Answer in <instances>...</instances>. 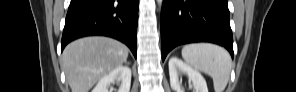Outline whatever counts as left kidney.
Listing matches in <instances>:
<instances>
[{
  "label": "left kidney",
  "mask_w": 296,
  "mask_h": 92,
  "mask_svg": "<svg viewBox=\"0 0 296 92\" xmlns=\"http://www.w3.org/2000/svg\"><path fill=\"white\" fill-rule=\"evenodd\" d=\"M182 74L188 76L189 82H192L194 86V92H208L206 81L197 70L184 63L178 57H171L169 60L170 85L175 92H184L179 81V77Z\"/></svg>",
  "instance_id": "1"
}]
</instances>
